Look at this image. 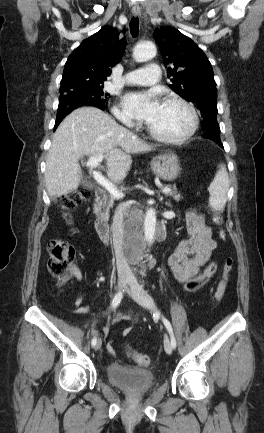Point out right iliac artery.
Masks as SVG:
<instances>
[{"mask_svg": "<svg viewBox=\"0 0 264 433\" xmlns=\"http://www.w3.org/2000/svg\"><path fill=\"white\" fill-rule=\"evenodd\" d=\"M123 292H124V290H123ZM123 292H119V293L116 294L115 297L113 298L112 303H111V307H112L113 309H115V308L119 305V303H120V301H121V299H122V297H123ZM96 342H97V339L94 337V338L92 339V341H91V345H92V346H95Z\"/></svg>", "mask_w": 264, "mask_h": 433, "instance_id": "obj_1", "label": "right iliac artery"}]
</instances>
